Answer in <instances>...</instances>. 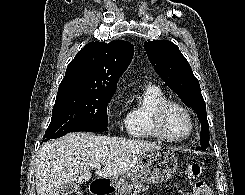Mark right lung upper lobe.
<instances>
[{"label":"right lung upper lobe","instance_id":"obj_1","mask_svg":"<svg viewBox=\"0 0 245 195\" xmlns=\"http://www.w3.org/2000/svg\"><path fill=\"white\" fill-rule=\"evenodd\" d=\"M133 54L134 46L122 40L86 44L67 66L58 93L78 90L115 93L119 77Z\"/></svg>","mask_w":245,"mask_h":195}]
</instances>
